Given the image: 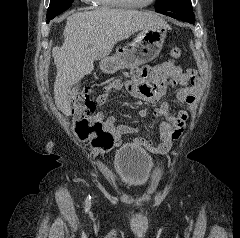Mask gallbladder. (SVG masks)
Segmentation results:
<instances>
[{"label":"gallbladder","instance_id":"bac80fb5","mask_svg":"<svg viewBox=\"0 0 240 238\" xmlns=\"http://www.w3.org/2000/svg\"><path fill=\"white\" fill-rule=\"evenodd\" d=\"M77 89H78V85H76V86L72 89L73 95H75Z\"/></svg>","mask_w":240,"mask_h":238}]
</instances>
